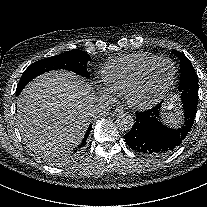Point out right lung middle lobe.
Instances as JSON below:
<instances>
[{
    "label": "right lung middle lobe",
    "instance_id": "1",
    "mask_svg": "<svg viewBox=\"0 0 207 207\" xmlns=\"http://www.w3.org/2000/svg\"><path fill=\"white\" fill-rule=\"evenodd\" d=\"M91 57L84 51L72 50L31 64L23 73L16 89L19 95L22 89L35 77L55 69H66L83 77H89L86 69Z\"/></svg>",
    "mask_w": 207,
    "mask_h": 207
}]
</instances>
